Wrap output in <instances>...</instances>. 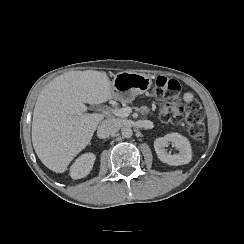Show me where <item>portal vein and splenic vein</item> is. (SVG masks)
I'll list each match as a JSON object with an SVG mask.
<instances>
[{"mask_svg": "<svg viewBox=\"0 0 244 244\" xmlns=\"http://www.w3.org/2000/svg\"><path fill=\"white\" fill-rule=\"evenodd\" d=\"M109 112L117 117H128L131 113L130 107H124V108H109Z\"/></svg>", "mask_w": 244, "mask_h": 244, "instance_id": "18ae733b", "label": "portal vein and splenic vein"}]
</instances>
